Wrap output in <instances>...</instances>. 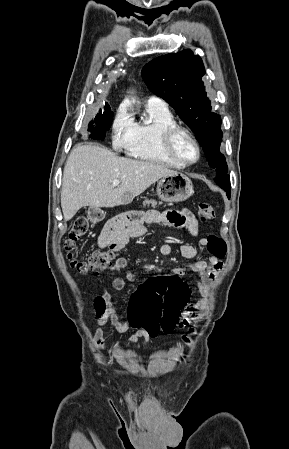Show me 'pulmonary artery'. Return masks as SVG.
Here are the masks:
<instances>
[{"instance_id": "obj_1", "label": "pulmonary artery", "mask_w": 289, "mask_h": 449, "mask_svg": "<svg viewBox=\"0 0 289 449\" xmlns=\"http://www.w3.org/2000/svg\"><path fill=\"white\" fill-rule=\"evenodd\" d=\"M147 105L155 106V107H167L166 102L163 99L156 97V96H150L147 99Z\"/></svg>"}]
</instances>
